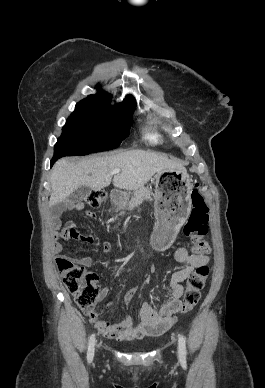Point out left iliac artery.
<instances>
[{"instance_id":"44dca946","label":"left iliac artery","mask_w":265,"mask_h":388,"mask_svg":"<svg viewBox=\"0 0 265 388\" xmlns=\"http://www.w3.org/2000/svg\"><path fill=\"white\" fill-rule=\"evenodd\" d=\"M178 345H179V354L184 357L186 356V343H185V338L182 334L178 335Z\"/></svg>"}]
</instances>
